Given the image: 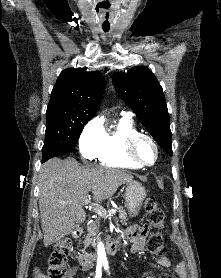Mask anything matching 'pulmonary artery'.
I'll use <instances>...</instances> for the list:
<instances>
[{
  "label": "pulmonary artery",
  "mask_w": 221,
  "mask_h": 278,
  "mask_svg": "<svg viewBox=\"0 0 221 278\" xmlns=\"http://www.w3.org/2000/svg\"><path fill=\"white\" fill-rule=\"evenodd\" d=\"M122 114L123 115H130L131 113L130 112H123Z\"/></svg>",
  "instance_id": "obj_1"
}]
</instances>
